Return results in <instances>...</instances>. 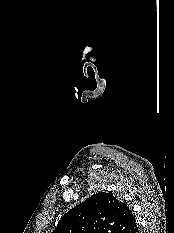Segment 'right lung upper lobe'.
Returning <instances> with one entry per match:
<instances>
[{
  "instance_id": "cb5924a9",
  "label": "right lung upper lobe",
  "mask_w": 174,
  "mask_h": 233,
  "mask_svg": "<svg viewBox=\"0 0 174 233\" xmlns=\"http://www.w3.org/2000/svg\"><path fill=\"white\" fill-rule=\"evenodd\" d=\"M53 233H138V227L125 203L99 192L62 216Z\"/></svg>"
}]
</instances>
